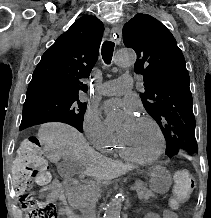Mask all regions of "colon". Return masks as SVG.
Listing matches in <instances>:
<instances>
[{
	"mask_svg": "<svg viewBox=\"0 0 211 218\" xmlns=\"http://www.w3.org/2000/svg\"><path fill=\"white\" fill-rule=\"evenodd\" d=\"M12 177L16 189L21 192L20 199L27 218H57L54 204L35 198L27 192L32 183L46 186L51 179L48 163L37 137H28L18 149L13 160ZM194 184V178L188 170L176 171L173 203L179 205L186 202Z\"/></svg>",
	"mask_w": 211,
	"mask_h": 218,
	"instance_id": "5ec220e1",
	"label": "colon"
}]
</instances>
